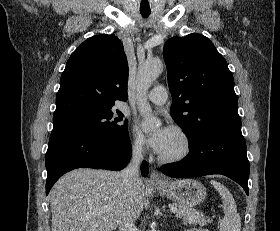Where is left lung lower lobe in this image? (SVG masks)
<instances>
[{
    "label": "left lung lower lobe",
    "mask_w": 280,
    "mask_h": 231,
    "mask_svg": "<svg viewBox=\"0 0 280 231\" xmlns=\"http://www.w3.org/2000/svg\"><path fill=\"white\" fill-rule=\"evenodd\" d=\"M189 148L187 157L163 165L161 171L176 178L222 174L239 183L248 195L249 161L241 127L210 129L191 138Z\"/></svg>",
    "instance_id": "0a47b994"
}]
</instances>
